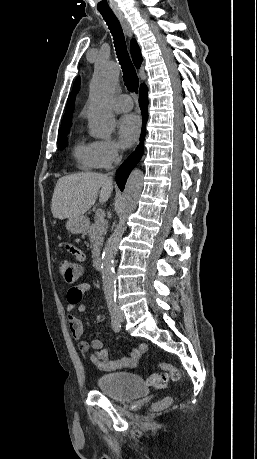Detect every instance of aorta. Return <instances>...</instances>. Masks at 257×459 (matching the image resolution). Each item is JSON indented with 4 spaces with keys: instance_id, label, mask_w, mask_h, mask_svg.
I'll return each instance as SVG.
<instances>
[{
    "instance_id": "1",
    "label": "aorta",
    "mask_w": 257,
    "mask_h": 459,
    "mask_svg": "<svg viewBox=\"0 0 257 459\" xmlns=\"http://www.w3.org/2000/svg\"><path fill=\"white\" fill-rule=\"evenodd\" d=\"M119 68L113 62H101L94 71L90 84V107L88 110V125L93 137L109 140L115 127V118L108 103L115 93L119 79ZM143 187V172L134 169L127 179L119 222L108 238L102 254L103 291L107 299L116 295V277L114 260L125 231V224L130 214L136 209Z\"/></svg>"
}]
</instances>
